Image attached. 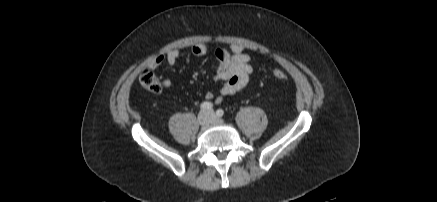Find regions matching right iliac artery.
I'll return each instance as SVG.
<instances>
[{"mask_svg":"<svg viewBox=\"0 0 437 202\" xmlns=\"http://www.w3.org/2000/svg\"><path fill=\"white\" fill-rule=\"evenodd\" d=\"M201 110L205 111V110H211L213 108V104L211 102H203L200 105Z\"/></svg>","mask_w":437,"mask_h":202,"instance_id":"obj_1","label":"right iliac artery"}]
</instances>
